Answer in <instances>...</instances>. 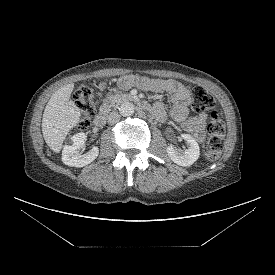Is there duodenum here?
Here are the masks:
<instances>
[{"label": "duodenum", "mask_w": 275, "mask_h": 275, "mask_svg": "<svg viewBox=\"0 0 275 275\" xmlns=\"http://www.w3.org/2000/svg\"><path fill=\"white\" fill-rule=\"evenodd\" d=\"M132 100L136 101L138 104V107L140 109V111L144 114V115H150L153 114V110L151 108V106L144 101H141L137 98H132ZM107 116H108V112L107 110H102L100 111L96 117L94 118V125L96 127H101L106 123L107 120Z\"/></svg>", "instance_id": "1"}]
</instances>
